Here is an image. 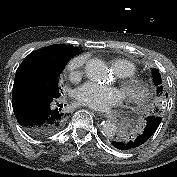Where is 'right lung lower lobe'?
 <instances>
[{
	"label": "right lung lower lobe",
	"instance_id": "obj_1",
	"mask_svg": "<svg viewBox=\"0 0 177 177\" xmlns=\"http://www.w3.org/2000/svg\"><path fill=\"white\" fill-rule=\"evenodd\" d=\"M59 97L13 86L12 106L18 123L34 137L58 132L67 121L62 106H56Z\"/></svg>",
	"mask_w": 177,
	"mask_h": 177
}]
</instances>
